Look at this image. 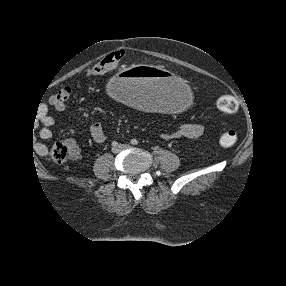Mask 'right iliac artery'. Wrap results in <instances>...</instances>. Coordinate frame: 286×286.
<instances>
[{
	"label": "right iliac artery",
	"mask_w": 286,
	"mask_h": 286,
	"mask_svg": "<svg viewBox=\"0 0 286 286\" xmlns=\"http://www.w3.org/2000/svg\"><path fill=\"white\" fill-rule=\"evenodd\" d=\"M117 145H118V143H117L116 141H113V142H112V146H113V147H117Z\"/></svg>",
	"instance_id": "right-iliac-artery-1"
}]
</instances>
